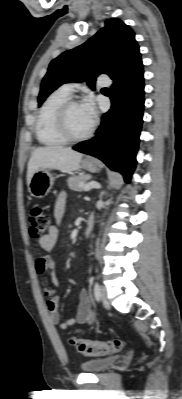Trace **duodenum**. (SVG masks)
Instances as JSON below:
<instances>
[{
    "label": "duodenum",
    "mask_w": 182,
    "mask_h": 399,
    "mask_svg": "<svg viewBox=\"0 0 182 399\" xmlns=\"http://www.w3.org/2000/svg\"><path fill=\"white\" fill-rule=\"evenodd\" d=\"M94 216L90 214L86 219L85 234L89 235L94 226Z\"/></svg>",
    "instance_id": "obj_1"
}]
</instances>
